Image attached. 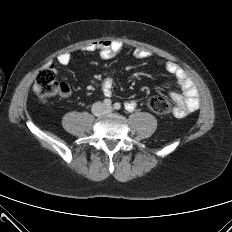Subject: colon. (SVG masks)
Returning <instances> with one entry per match:
<instances>
[{"label":"colon","mask_w":232,"mask_h":232,"mask_svg":"<svg viewBox=\"0 0 232 232\" xmlns=\"http://www.w3.org/2000/svg\"><path fill=\"white\" fill-rule=\"evenodd\" d=\"M35 90L41 98H49L64 91L60 82L56 80L54 70L51 67L41 69L35 79ZM149 108L158 115H170L172 104L165 97L153 95L148 102Z\"/></svg>","instance_id":"colon-1"}]
</instances>
